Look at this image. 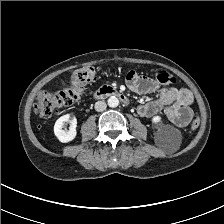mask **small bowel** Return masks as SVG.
<instances>
[{
    "mask_svg": "<svg viewBox=\"0 0 224 224\" xmlns=\"http://www.w3.org/2000/svg\"><path fill=\"white\" fill-rule=\"evenodd\" d=\"M126 81L129 89L138 94H151L157 88L152 80L135 71L129 72ZM193 99V93L187 88L162 87L158 98L140 105L138 113L143 117H153L163 111L174 125L185 127L191 119L189 106Z\"/></svg>",
    "mask_w": 224,
    "mask_h": 224,
    "instance_id": "1",
    "label": "small bowel"
}]
</instances>
